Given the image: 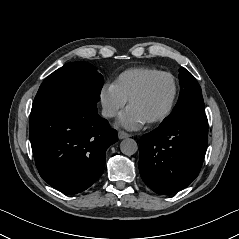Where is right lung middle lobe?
I'll use <instances>...</instances> for the list:
<instances>
[{"mask_svg": "<svg viewBox=\"0 0 239 239\" xmlns=\"http://www.w3.org/2000/svg\"><path fill=\"white\" fill-rule=\"evenodd\" d=\"M103 82V76L93 65L87 62L67 63L49 75L41 84L31 112L66 95H81L98 102Z\"/></svg>", "mask_w": 239, "mask_h": 239, "instance_id": "obj_1", "label": "right lung middle lobe"}]
</instances>
